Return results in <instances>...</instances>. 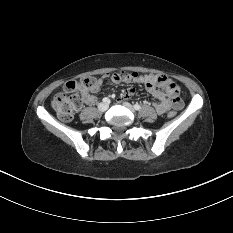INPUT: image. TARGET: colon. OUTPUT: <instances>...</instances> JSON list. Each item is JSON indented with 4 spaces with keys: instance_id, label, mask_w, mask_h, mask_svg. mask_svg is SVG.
<instances>
[{
    "instance_id": "5ec220e1",
    "label": "colon",
    "mask_w": 233,
    "mask_h": 233,
    "mask_svg": "<svg viewBox=\"0 0 233 233\" xmlns=\"http://www.w3.org/2000/svg\"><path fill=\"white\" fill-rule=\"evenodd\" d=\"M123 75L135 77L136 73H125ZM96 84V80L92 77L85 78L79 82L69 81L65 84V91L67 93H58L52 99V107L56 111L58 117L62 121H71L75 113L80 109L82 100L79 93L76 91L86 92L92 90ZM175 111L169 113V117H174Z\"/></svg>"
}]
</instances>
